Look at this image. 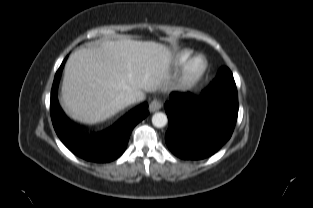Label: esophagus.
I'll list each match as a JSON object with an SVG mask.
<instances>
[{"mask_svg":"<svg viewBox=\"0 0 313 208\" xmlns=\"http://www.w3.org/2000/svg\"><path fill=\"white\" fill-rule=\"evenodd\" d=\"M162 108V102L158 99H154L150 102L149 104V110L150 112H155L158 111L159 109Z\"/></svg>","mask_w":313,"mask_h":208,"instance_id":"obj_1","label":"esophagus"}]
</instances>
